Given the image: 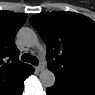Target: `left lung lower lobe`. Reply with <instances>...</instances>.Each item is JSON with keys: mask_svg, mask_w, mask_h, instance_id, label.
<instances>
[{"mask_svg": "<svg viewBox=\"0 0 95 95\" xmlns=\"http://www.w3.org/2000/svg\"><path fill=\"white\" fill-rule=\"evenodd\" d=\"M47 95H94L95 84L69 77L56 78L55 84L46 90Z\"/></svg>", "mask_w": 95, "mask_h": 95, "instance_id": "1", "label": "left lung lower lobe"}]
</instances>
